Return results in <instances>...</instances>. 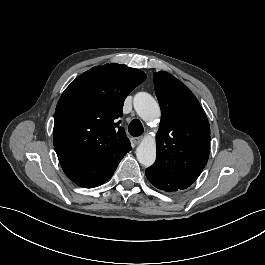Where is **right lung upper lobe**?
Listing matches in <instances>:
<instances>
[{
	"label": "right lung upper lobe",
	"mask_w": 265,
	"mask_h": 265,
	"mask_svg": "<svg viewBox=\"0 0 265 265\" xmlns=\"http://www.w3.org/2000/svg\"><path fill=\"white\" fill-rule=\"evenodd\" d=\"M146 79L141 70L120 64L94 67L78 76L56 106L53 143L58 156H104L130 145L122 127L127 95Z\"/></svg>",
	"instance_id": "obj_1"
}]
</instances>
